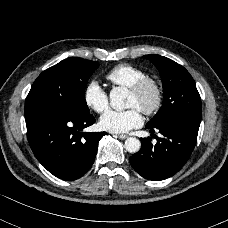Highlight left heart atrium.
I'll return each mask as SVG.
<instances>
[{
	"label": "left heart atrium",
	"mask_w": 228,
	"mask_h": 228,
	"mask_svg": "<svg viewBox=\"0 0 228 228\" xmlns=\"http://www.w3.org/2000/svg\"><path fill=\"white\" fill-rule=\"evenodd\" d=\"M102 129L110 133H126L142 125L143 118L137 107L127 110H109L100 118Z\"/></svg>",
	"instance_id": "obj_1"
}]
</instances>
